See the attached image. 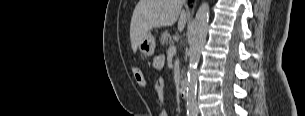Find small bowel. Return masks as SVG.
<instances>
[{"label":"small bowel","mask_w":305,"mask_h":116,"mask_svg":"<svg viewBox=\"0 0 305 116\" xmlns=\"http://www.w3.org/2000/svg\"><path fill=\"white\" fill-rule=\"evenodd\" d=\"M163 65V58L161 56L156 57L153 61V66L156 69H161ZM154 86L157 92L158 96V105L160 107V114L159 116H168L167 111L164 107V101H165V84L161 77H157L154 80Z\"/></svg>","instance_id":"small-bowel-1"}]
</instances>
